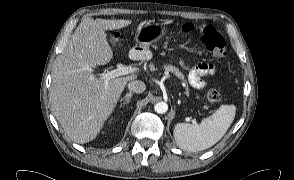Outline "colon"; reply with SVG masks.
<instances>
[{
    "mask_svg": "<svg viewBox=\"0 0 294 180\" xmlns=\"http://www.w3.org/2000/svg\"><path fill=\"white\" fill-rule=\"evenodd\" d=\"M202 39L206 43V46L212 52L214 57L218 59H223L227 56L224 40L216 32L214 27H204L202 30ZM218 97L219 94L215 88H210L205 95L206 100L209 102H216L218 100Z\"/></svg>",
    "mask_w": 294,
    "mask_h": 180,
    "instance_id": "5ec220e1",
    "label": "colon"
}]
</instances>
